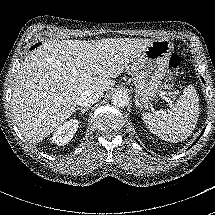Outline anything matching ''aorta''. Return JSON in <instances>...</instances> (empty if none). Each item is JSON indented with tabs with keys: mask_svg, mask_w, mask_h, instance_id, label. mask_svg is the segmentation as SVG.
<instances>
[{
	"mask_svg": "<svg viewBox=\"0 0 215 215\" xmlns=\"http://www.w3.org/2000/svg\"><path fill=\"white\" fill-rule=\"evenodd\" d=\"M130 102L129 95L124 91H116L112 95L111 103L115 107L125 108Z\"/></svg>",
	"mask_w": 215,
	"mask_h": 215,
	"instance_id": "1",
	"label": "aorta"
}]
</instances>
